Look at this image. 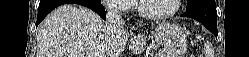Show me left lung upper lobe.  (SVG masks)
Returning <instances> with one entry per match:
<instances>
[{
	"label": "left lung upper lobe",
	"mask_w": 249,
	"mask_h": 57,
	"mask_svg": "<svg viewBox=\"0 0 249 57\" xmlns=\"http://www.w3.org/2000/svg\"><path fill=\"white\" fill-rule=\"evenodd\" d=\"M200 1H203V0H187V7H191Z\"/></svg>",
	"instance_id": "left-lung-upper-lobe-1"
}]
</instances>
